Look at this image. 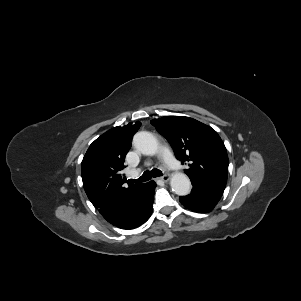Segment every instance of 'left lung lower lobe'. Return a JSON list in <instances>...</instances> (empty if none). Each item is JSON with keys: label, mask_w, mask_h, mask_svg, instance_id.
Instances as JSON below:
<instances>
[{"label": "left lung lower lobe", "mask_w": 301, "mask_h": 301, "mask_svg": "<svg viewBox=\"0 0 301 301\" xmlns=\"http://www.w3.org/2000/svg\"><path fill=\"white\" fill-rule=\"evenodd\" d=\"M192 185L191 193L187 196H181L179 200L182 205L194 212L211 211L223 194L222 190L203 185L197 181H193Z\"/></svg>", "instance_id": "0a47b994"}]
</instances>
